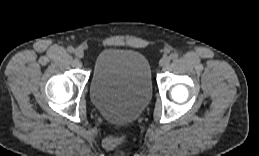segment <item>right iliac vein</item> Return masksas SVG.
<instances>
[{"label":"right iliac vein","mask_w":259,"mask_h":156,"mask_svg":"<svg viewBox=\"0 0 259 156\" xmlns=\"http://www.w3.org/2000/svg\"><path fill=\"white\" fill-rule=\"evenodd\" d=\"M74 54L79 59H82L84 57V53H83V51L81 49H76Z\"/></svg>","instance_id":"right-iliac-vein-1"}]
</instances>
